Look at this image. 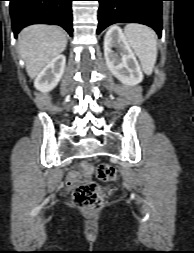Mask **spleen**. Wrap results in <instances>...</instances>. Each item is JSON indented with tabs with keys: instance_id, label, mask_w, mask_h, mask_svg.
Masks as SVG:
<instances>
[{
	"instance_id": "spleen-1",
	"label": "spleen",
	"mask_w": 194,
	"mask_h": 253,
	"mask_svg": "<svg viewBox=\"0 0 194 253\" xmlns=\"http://www.w3.org/2000/svg\"><path fill=\"white\" fill-rule=\"evenodd\" d=\"M124 33L128 44L140 60L142 70L151 75L157 59L155 32L145 25L131 23L126 25Z\"/></svg>"
}]
</instances>
